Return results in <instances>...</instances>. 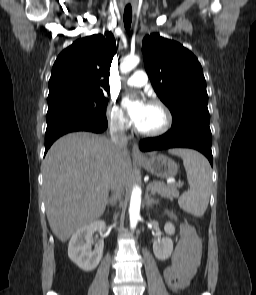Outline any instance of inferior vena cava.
Listing matches in <instances>:
<instances>
[{
  "mask_svg": "<svg viewBox=\"0 0 256 295\" xmlns=\"http://www.w3.org/2000/svg\"><path fill=\"white\" fill-rule=\"evenodd\" d=\"M110 139L114 145L116 156L119 155L120 151L126 149L127 137L125 134V127L121 122L112 121L110 123ZM111 189L113 191L112 198L113 203L121 199L123 194V186L119 179L121 172L118 171V164H113V171H111Z\"/></svg>",
  "mask_w": 256,
  "mask_h": 295,
  "instance_id": "inferior-vena-cava-1",
  "label": "inferior vena cava"
}]
</instances>
